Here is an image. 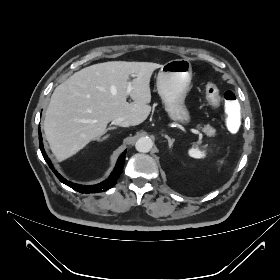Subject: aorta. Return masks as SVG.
<instances>
[{
  "label": "aorta",
  "mask_w": 280,
  "mask_h": 280,
  "mask_svg": "<svg viewBox=\"0 0 280 280\" xmlns=\"http://www.w3.org/2000/svg\"><path fill=\"white\" fill-rule=\"evenodd\" d=\"M153 142L149 137H141L135 143L138 152L147 153L152 149Z\"/></svg>",
  "instance_id": "obj_1"
}]
</instances>
